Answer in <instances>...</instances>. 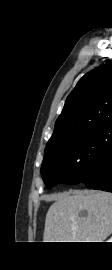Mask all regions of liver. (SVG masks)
Instances as JSON below:
<instances>
[{"mask_svg":"<svg viewBox=\"0 0 112 270\" xmlns=\"http://www.w3.org/2000/svg\"><path fill=\"white\" fill-rule=\"evenodd\" d=\"M52 198L44 242H104L112 234V193L75 190Z\"/></svg>","mask_w":112,"mask_h":270,"instance_id":"obj_1","label":"liver"}]
</instances>
